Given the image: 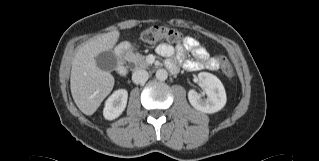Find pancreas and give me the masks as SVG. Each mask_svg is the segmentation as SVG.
I'll use <instances>...</instances> for the list:
<instances>
[{
  "instance_id": "pancreas-1",
  "label": "pancreas",
  "mask_w": 319,
  "mask_h": 161,
  "mask_svg": "<svg viewBox=\"0 0 319 161\" xmlns=\"http://www.w3.org/2000/svg\"><path fill=\"white\" fill-rule=\"evenodd\" d=\"M126 59L127 61L134 63L136 68L147 69L149 67L145 56L141 54L130 52Z\"/></svg>"
}]
</instances>
